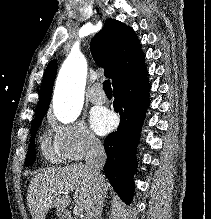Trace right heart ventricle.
I'll use <instances>...</instances> for the list:
<instances>
[{
  "label": "right heart ventricle",
  "mask_w": 211,
  "mask_h": 219,
  "mask_svg": "<svg viewBox=\"0 0 211 219\" xmlns=\"http://www.w3.org/2000/svg\"><path fill=\"white\" fill-rule=\"evenodd\" d=\"M41 152L43 157L49 162L56 163L62 159L56 147L46 139L41 142Z\"/></svg>",
  "instance_id": "1"
}]
</instances>
